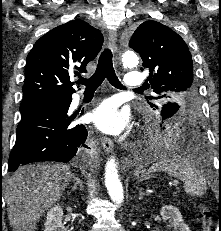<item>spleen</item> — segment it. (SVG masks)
<instances>
[{
  "label": "spleen",
  "instance_id": "spleen-1",
  "mask_svg": "<svg viewBox=\"0 0 221 231\" xmlns=\"http://www.w3.org/2000/svg\"><path fill=\"white\" fill-rule=\"evenodd\" d=\"M149 172H165L170 176L180 179L184 183L187 194L202 196L206 193V181L197 163L189 158L163 157L155 162Z\"/></svg>",
  "mask_w": 221,
  "mask_h": 231
}]
</instances>
